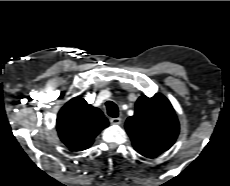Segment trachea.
Returning a JSON list of instances; mask_svg holds the SVG:
<instances>
[{
  "mask_svg": "<svg viewBox=\"0 0 230 186\" xmlns=\"http://www.w3.org/2000/svg\"><path fill=\"white\" fill-rule=\"evenodd\" d=\"M106 109L109 116L116 118L119 115L118 107L112 101L106 102Z\"/></svg>",
  "mask_w": 230,
  "mask_h": 186,
  "instance_id": "trachea-1",
  "label": "trachea"
}]
</instances>
